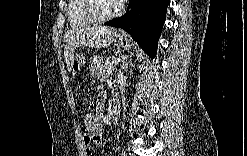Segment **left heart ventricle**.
Returning a JSON list of instances; mask_svg holds the SVG:
<instances>
[{"instance_id": "obj_1", "label": "left heart ventricle", "mask_w": 247, "mask_h": 156, "mask_svg": "<svg viewBox=\"0 0 247 156\" xmlns=\"http://www.w3.org/2000/svg\"><path fill=\"white\" fill-rule=\"evenodd\" d=\"M116 7V1H97L94 4V11L97 15L106 16L113 13Z\"/></svg>"}]
</instances>
